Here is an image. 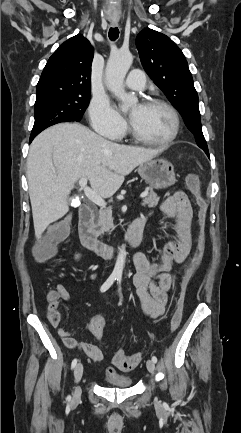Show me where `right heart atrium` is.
Instances as JSON below:
<instances>
[{
	"mask_svg": "<svg viewBox=\"0 0 241 433\" xmlns=\"http://www.w3.org/2000/svg\"><path fill=\"white\" fill-rule=\"evenodd\" d=\"M88 112L92 128L103 136L119 140L127 130L125 119L105 98L93 99Z\"/></svg>",
	"mask_w": 241,
	"mask_h": 433,
	"instance_id": "1",
	"label": "right heart atrium"
}]
</instances>
